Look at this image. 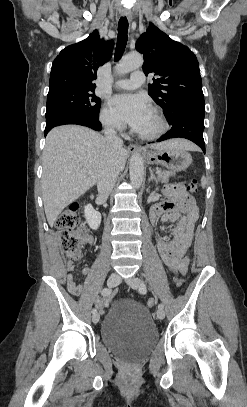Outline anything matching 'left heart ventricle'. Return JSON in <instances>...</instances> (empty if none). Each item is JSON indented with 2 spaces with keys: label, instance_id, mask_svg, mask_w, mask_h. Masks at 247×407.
Returning a JSON list of instances; mask_svg holds the SVG:
<instances>
[{
  "label": "left heart ventricle",
  "instance_id": "1",
  "mask_svg": "<svg viewBox=\"0 0 247 407\" xmlns=\"http://www.w3.org/2000/svg\"><path fill=\"white\" fill-rule=\"evenodd\" d=\"M160 125L156 117L149 111L140 126L135 129L143 134H152L159 129Z\"/></svg>",
  "mask_w": 247,
  "mask_h": 407
}]
</instances>
